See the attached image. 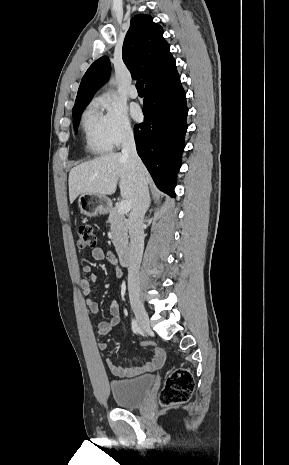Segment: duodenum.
Listing matches in <instances>:
<instances>
[{"label":"duodenum","mask_w":289,"mask_h":465,"mask_svg":"<svg viewBox=\"0 0 289 465\" xmlns=\"http://www.w3.org/2000/svg\"><path fill=\"white\" fill-rule=\"evenodd\" d=\"M120 261L123 266H130L133 262V252L130 247H125L121 250Z\"/></svg>","instance_id":"1"}]
</instances>
